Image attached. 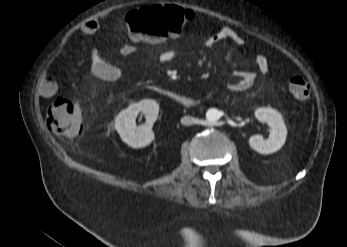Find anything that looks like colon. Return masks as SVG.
<instances>
[{"mask_svg":"<svg viewBox=\"0 0 347 247\" xmlns=\"http://www.w3.org/2000/svg\"><path fill=\"white\" fill-rule=\"evenodd\" d=\"M194 19V15L176 5H155L129 12L125 25L133 37L160 43L163 39L180 34ZM289 91L299 103L309 100L311 89L301 76L294 75L289 80ZM46 124L59 136L75 138L83 131L80 107L66 96H55L47 109Z\"/></svg>","mask_w":347,"mask_h":247,"instance_id":"5ec220e1","label":"colon"}]
</instances>
